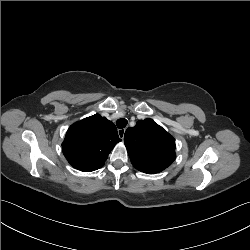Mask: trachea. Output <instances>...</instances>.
Listing matches in <instances>:
<instances>
[{
  "mask_svg": "<svg viewBox=\"0 0 250 250\" xmlns=\"http://www.w3.org/2000/svg\"><path fill=\"white\" fill-rule=\"evenodd\" d=\"M128 121L125 118L118 119L116 125L118 128L122 129L127 125Z\"/></svg>",
  "mask_w": 250,
  "mask_h": 250,
  "instance_id": "obj_1",
  "label": "trachea"
}]
</instances>
